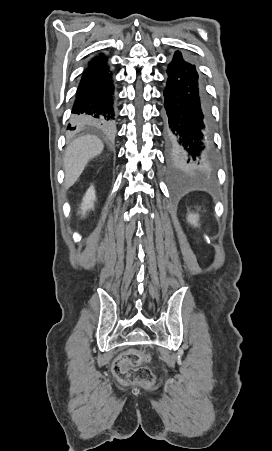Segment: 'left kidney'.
Instances as JSON below:
<instances>
[{
	"mask_svg": "<svg viewBox=\"0 0 272 451\" xmlns=\"http://www.w3.org/2000/svg\"><path fill=\"white\" fill-rule=\"evenodd\" d=\"M187 220L190 224H193V226H198L199 216L198 214H189Z\"/></svg>",
	"mask_w": 272,
	"mask_h": 451,
	"instance_id": "obj_1",
	"label": "left kidney"
}]
</instances>
